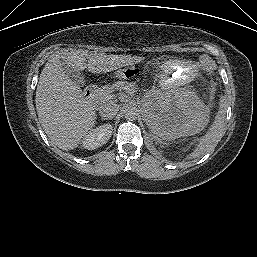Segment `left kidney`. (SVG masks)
Segmentation results:
<instances>
[{
  "instance_id": "5707ae66",
  "label": "left kidney",
  "mask_w": 257,
  "mask_h": 257,
  "mask_svg": "<svg viewBox=\"0 0 257 257\" xmlns=\"http://www.w3.org/2000/svg\"><path fill=\"white\" fill-rule=\"evenodd\" d=\"M143 116L152 135L160 141L195 135L207 123L198 96L182 90L155 94L146 102Z\"/></svg>"
}]
</instances>
